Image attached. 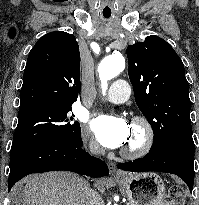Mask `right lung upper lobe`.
<instances>
[{
  "label": "right lung upper lobe",
  "mask_w": 199,
  "mask_h": 205,
  "mask_svg": "<svg viewBox=\"0 0 199 205\" xmlns=\"http://www.w3.org/2000/svg\"><path fill=\"white\" fill-rule=\"evenodd\" d=\"M80 90V52L75 37L63 31L45 34L28 55L19 111L72 104Z\"/></svg>",
  "instance_id": "cb5924a9"
}]
</instances>
